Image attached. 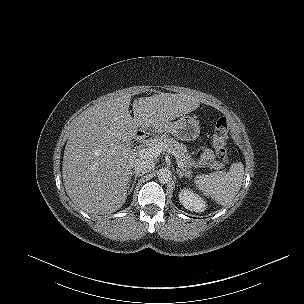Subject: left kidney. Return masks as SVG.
I'll use <instances>...</instances> for the list:
<instances>
[{"label":"left kidney","instance_id":"obj_1","mask_svg":"<svg viewBox=\"0 0 304 304\" xmlns=\"http://www.w3.org/2000/svg\"><path fill=\"white\" fill-rule=\"evenodd\" d=\"M179 200L186 209L194 212H203L207 206L202 198L189 189L179 192Z\"/></svg>","mask_w":304,"mask_h":304}]
</instances>
